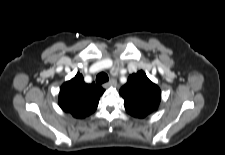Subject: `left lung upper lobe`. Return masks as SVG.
Instances as JSON below:
<instances>
[{
    "instance_id": "left-lung-upper-lobe-1",
    "label": "left lung upper lobe",
    "mask_w": 225,
    "mask_h": 155,
    "mask_svg": "<svg viewBox=\"0 0 225 155\" xmlns=\"http://www.w3.org/2000/svg\"><path fill=\"white\" fill-rule=\"evenodd\" d=\"M124 106L130 115L145 118L157 110L161 101L159 87L151 82L141 70L129 76L128 82L120 89Z\"/></svg>"
}]
</instances>
